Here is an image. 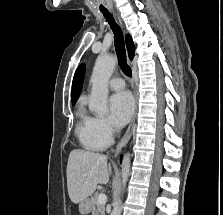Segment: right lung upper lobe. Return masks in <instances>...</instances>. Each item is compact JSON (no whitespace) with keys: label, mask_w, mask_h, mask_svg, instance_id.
Wrapping results in <instances>:
<instances>
[{"label":"right lung upper lobe","mask_w":223,"mask_h":215,"mask_svg":"<svg viewBox=\"0 0 223 215\" xmlns=\"http://www.w3.org/2000/svg\"><path fill=\"white\" fill-rule=\"evenodd\" d=\"M126 44H127V49L129 52V57L132 59V57L134 56V44L132 42V39L129 35H127L126 37ZM84 73H85V65H81L75 75H74V79H73V83H72V104H75V102L77 101L81 89H82V84H83V79H84Z\"/></svg>","instance_id":"right-lung-upper-lobe-1"}]
</instances>
